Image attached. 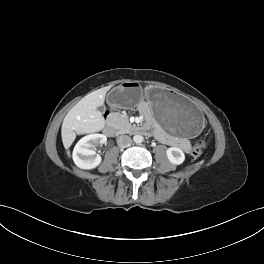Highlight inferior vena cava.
Instances as JSON below:
<instances>
[{
	"label": "inferior vena cava",
	"instance_id": "obj_1",
	"mask_svg": "<svg viewBox=\"0 0 264 264\" xmlns=\"http://www.w3.org/2000/svg\"><path fill=\"white\" fill-rule=\"evenodd\" d=\"M132 143V139L127 135H121L117 138V144L119 147H129Z\"/></svg>",
	"mask_w": 264,
	"mask_h": 264
}]
</instances>
